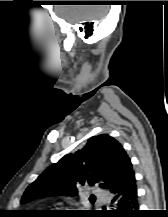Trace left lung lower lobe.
I'll return each instance as SVG.
<instances>
[{"label": "left lung lower lobe", "instance_id": "left-lung-lower-lobe-1", "mask_svg": "<svg viewBox=\"0 0 168 217\" xmlns=\"http://www.w3.org/2000/svg\"><path fill=\"white\" fill-rule=\"evenodd\" d=\"M115 210L104 212L113 217H137L138 201L137 187L134 172H131L126 182L119 188L111 191Z\"/></svg>", "mask_w": 168, "mask_h": 217}]
</instances>
